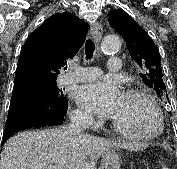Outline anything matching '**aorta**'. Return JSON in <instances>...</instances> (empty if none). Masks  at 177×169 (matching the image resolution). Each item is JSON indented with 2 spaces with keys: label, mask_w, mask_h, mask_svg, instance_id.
Here are the masks:
<instances>
[{
  "label": "aorta",
  "mask_w": 177,
  "mask_h": 169,
  "mask_svg": "<svg viewBox=\"0 0 177 169\" xmlns=\"http://www.w3.org/2000/svg\"><path fill=\"white\" fill-rule=\"evenodd\" d=\"M120 49V40L116 35H108L102 41V51L105 54L116 53Z\"/></svg>",
  "instance_id": "762f6f07"
}]
</instances>
